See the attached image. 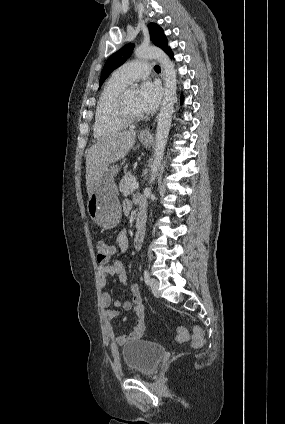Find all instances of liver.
Listing matches in <instances>:
<instances>
[{"label":"liver","instance_id":"1","mask_svg":"<svg viewBox=\"0 0 285 424\" xmlns=\"http://www.w3.org/2000/svg\"><path fill=\"white\" fill-rule=\"evenodd\" d=\"M136 132L113 133L94 144L86 154V187L90 195L111 165L123 159L135 144Z\"/></svg>","mask_w":285,"mask_h":424}]
</instances>
